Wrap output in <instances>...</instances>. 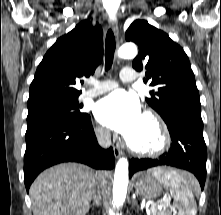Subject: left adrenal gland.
Returning <instances> with one entry per match:
<instances>
[{"mask_svg":"<svg viewBox=\"0 0 221 215\" xmlns=\"http://www.w3.org/2000/svg\"><path fill=\"white\" fill-rule=\"evenodd\" d=\"M133 206L139 207L135 199H133V201H132V207H133Z\"/></svg>","mask_w":221,"mask_h":215,"instance_id":"1","label":"left adrenal gland"}]
</instances>
